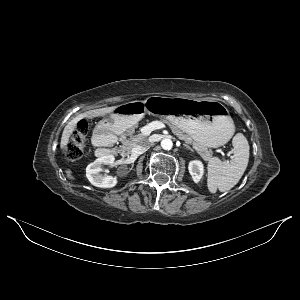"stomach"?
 Returning <instances> with one entry per match:
<instances>
[{"label": "stomach", "mask_w": 300, "mask_h": 300, "mask_svg": "<svg viewBox=\"0 0 300 300\" xmlns=\"http://www.w3.org/2000/svg\"><path fill=\"white\" fill-rule=\"evenodd\" d=\"M148 113L169 120L196 142L211 148L226 144L234 133L227 108L216 100L153 96L144 101L118 105L100 125L121 134Z\"/></svg>", "instance_id": "stomach-1"}]
</instances>
